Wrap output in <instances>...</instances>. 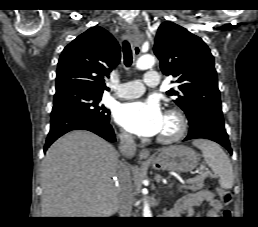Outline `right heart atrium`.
I'll list each match as a JSON object with an SVG mask.
<instances>
[{
  "mask_svg": "<svg viewBox=\"0 0 258 227\" xmlns=\"http://www.w3.org/2000/svg\"><path fill=\"white\" fill-rule=\"evenodd\" d=\"M120 139H121L122 141H124V142H129V141L131 140V136H130L129 133L123 131V132H121V134H120Z\"/></svg>",
  "mask_w": 258,
  "mask_h": 227,
  "instance_id": "right-heart-atrium-1",
  "label": "right heart atrium"
}]
</instances>
